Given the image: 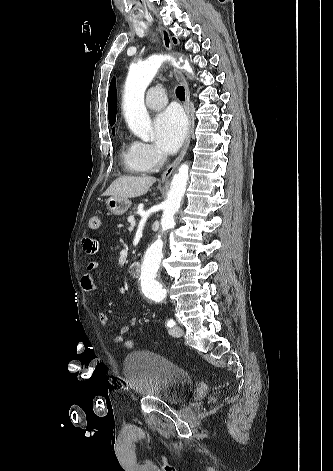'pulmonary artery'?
<instances>
[{"instance_id":"e3ab8cb5","label":"pulmonary artery","mask_w":333,"mask_h":471,"mask_svg":"<svg viewBox=\"0 0 333 471\" xmlns=\"http://www.w3.org/2000/svg\"><path fill=\"white\" fill-rule=\"evenodd\" d=\"M167 103V96L162 87L156 86L149 89L146 95V105L151 110H159Z\"/></svg>"}]
</instances>
